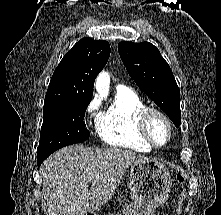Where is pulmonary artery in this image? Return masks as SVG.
<instances>
[{
  "label": "pulmonary artery",
  "mask_w": 221,
  "mask_h": 215,
  "mask_svg": "<svg viewBox=\"0 0 221 215\" xmlns=\"http://www.w3.org/2000/svg\"><path fill=\"white\" fill-rule=\"evenodd\" d=\"M126 89H128L125 85H118V87H117V91H122V90H126Z\"/></svg>",
  "instance_id": "1"
}]
</instances>
